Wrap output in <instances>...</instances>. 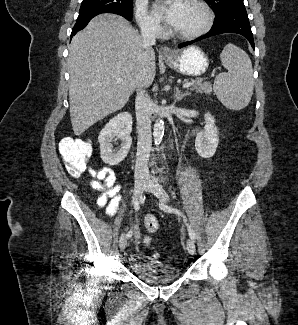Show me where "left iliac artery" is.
Here are the masks:
<instances>
[{
  "mask_svg": "<svg viewBox=\"0 0 298 325\" xmlns=\"http://www.w3.org/2000/svg\"><path fill=\"white\" fill-rule=\"evenodd\" d=\"M159 207L165 212L175 213V214H177L179 216L184 217L180 210H178V209H176L174 207L168 206V205H166L164 203H160ZM187 229H188L190 237L193 240H195L196 237H195L194 230L192 229V227H191V225L189 223H187Z\"/></svg>",
  "mask_w": 298,
  "mask_h": 325,
  "instance_id": "44dca946",
  "label": "left iliac artery"
}]
</instances>
